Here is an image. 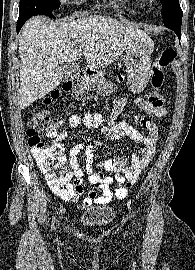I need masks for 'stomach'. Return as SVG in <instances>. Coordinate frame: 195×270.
I'll use <instances>...</instances> for the list:
<instances>
[{
  "label": "stomach",
  "mask_w": 195,
  "mask_h": 270,
  "mask_svg": "<svg viewBox=\"0 0 195 270\" xmlns=\"http://www.w3.org/2000/svg\"><path fill=\"white\" fill-rule=\"evenodd\" d=\"M153 48V41L145 35L134 37L131 47L126 49L127 85L133 93H140L150 79ZM89 84L103 96L110 95L116 90L115 84L107 81L100 73L92 75Z\"/></svg>",
  "instance_id": "1"
}]
</instances>
